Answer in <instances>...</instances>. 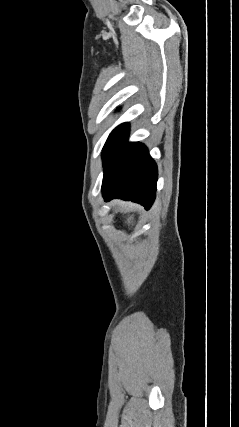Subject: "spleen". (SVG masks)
Wrapping results in <instances>:
<instances>
[{"mask_svg": "<svg viewBox=\"0 0 239 427\" xmlns=\"http://www.w3.org/2000/svg\"><path fill=\"white\" fill-rule=\"evenodd\" d=\"M131 218H129L128 222L130 223Z\"/></svg>", "mask_w": 239, "mask_h": 427, "instance_id": "obj_1", "label": "spleen"}]
</instances>
